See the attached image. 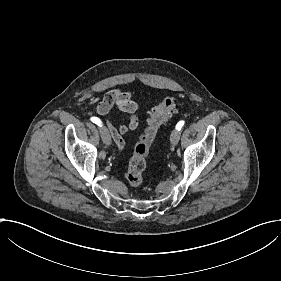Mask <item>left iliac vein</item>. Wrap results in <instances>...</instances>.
<instances>
[{
  "instance_id": "left-iliac-vein-1",
  "label": "left iliac vein",
  "mask_w": 281,
  "mask_h": 281,
  "mask_svg": "<svg viewBox=\"0 0 281 281\" xmlns=\"http://www.w3.org/2000/svg\"><path fill=\"white\" fill-rule=\"evenodd\" d=\"M179 135H180V134H179L178 132L172 130V134H171V136H170V138H171L170 143L173 142V143H175V144H178V143H179V140H178Z\"/></svg>"
}]
</instances>
